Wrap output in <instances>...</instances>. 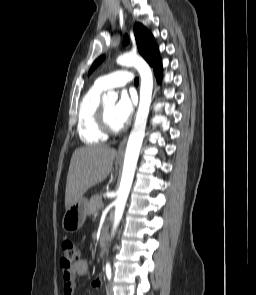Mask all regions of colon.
I'll list each match as a JSON object with an SVG mask.
<instances>
[{
	"label": "colon",
	"instance_id": "colon-1",
	"mask_svg": "<svg viewBox=\"0 0 256 295\" xmlns=\"http://www.w3.org/2000/svg\"><path fill=\"white\" fill-rule=\"evenodd\" d=\"M79 259V250L75 243L66 240L61 244V259L60 263L64 269H69Z\"/></svg>",
	"mask_w": 256,
	"mask_h": 295
}]
</instances>
